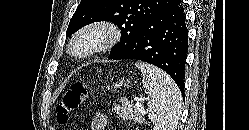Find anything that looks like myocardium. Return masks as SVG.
I'll return each mask as SVG.
<instances>
[{"label":"myocardium","instance_id":"1","mask_svg":"<svg viewBox=\"0 0 249 130\" xmlns=\"http://www.w3.org/2000/svg\"><path fill=\"white\" fill-rule=\"evenodd\" d=\"M93 38L82 51H76L77 43ZM121 37L120 28L109 20H96L87 23L78 29L69 39L67 52L74 59L84 60L94 55L107 51L113 47Z\"/></svg>","mask_w":249,"mask_h":130}]
</instances>
